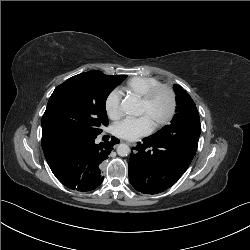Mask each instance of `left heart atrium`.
Returning a JSON list of instances; mask_svg holds the SVG:
<instances>
[{
	"label": "left heart atrium",
	"mask_w": 250,
	"mask_h": 250,
	"mask_svg": "<svg viewBox=\"0 0 250 250\" xmlns=\"http://www.w3.org/2000/svg\"><path fill=\"white\" fill-rule=\"evenodd\" d=\"M153 124L146 115L137 118H125L116 123L113 127L114 134L122 139L136 140L149 134Z\"/></svg>",
	"instance_id": "left-heart-atrium-1"
}]
</instances>
